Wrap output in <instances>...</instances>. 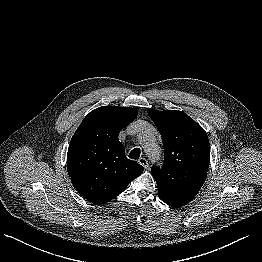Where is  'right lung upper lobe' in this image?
Masks as SVG:
<instances>
[{
    "label": "right lung upper lobe",
    "mask_w": 262,
    "mask_h": 262,
    "mask_svg": "<svg viewBox=\"0 0 262 262\" xmlns=\"http://www.w3.org/2000/svg\"><path fill=\"white\" fill-rule=\"evenodd\" d=\"M136 116L133 108L99 107L84 118L73 135L67 153L68 174L89 202H109L142 174L144 168L126 158L118 139Z\"/></svg>",
    "instance_id": "right-lung-upper-lobe-1"
}]
</instances>
